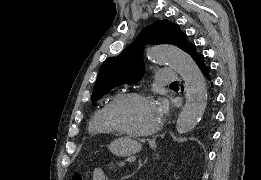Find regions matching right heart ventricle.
<instances>
[{
	"label": "right heart ventricle",
	"mask_w": 261,
	"mask_h": 180,
	"mask_svg": "<svg viewBox=\"0 0 261 180\" xmlns=\"http://www.w3.org/2000/svg\"><path fill=\"white\" fill-rule=\"evenodd\" d=\"M111 99L112 98L106 100L94 111L88 123V135L92 140L97 142H106L115 138L108 130L103 120V110Z\"/></svg>",
	"instance_id": "obj_1"
}]
</instances>
